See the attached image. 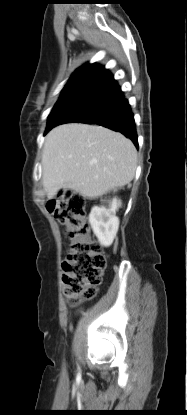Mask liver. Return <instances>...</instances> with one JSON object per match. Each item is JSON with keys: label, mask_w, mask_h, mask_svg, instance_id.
<instances>
[{"label": "liver", "mask_w": 187, "mask_h": 415, "mask_svg": "<svg viewBox=\"0 0 187 415\" xmlns=\"http://www.w3.org/2000/svg\"><path fill=\"white\" fill-rule=\"evenodd\" d=\"M137 167V151L122 134L97 125L63 124L46 136L43 186L48 199L61 189L97 198L130 183Z\"/></svg>", "instance_id": "6515ba94"}]
</instances>
